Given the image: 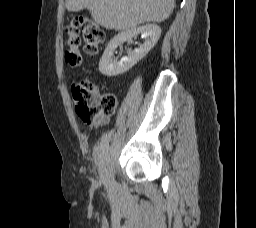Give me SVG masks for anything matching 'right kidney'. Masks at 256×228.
<instances>
[{
  "mask_svg": "<svg viewBox=\"0 0 256 228\" xmlns=\"http://www.w3.org/2000/svg\"><path fill=\"white\" fill-rule=\"evenodd\" d=\"M141 35L145 39L143 44L133 51H128V55L120 61L112 60L114 50L123 42L131 41L132 38ZM161 35V29L155 24H146L131 30L117 34L108 43L99 62V71L107 76L114 77L127 72L155 46Z\"/></svg>",
  "mask_w": 256,
  "mask_h": 228,
  "instance_id": "obj_1",
  "label": "right kidney"
}]
</instances>
